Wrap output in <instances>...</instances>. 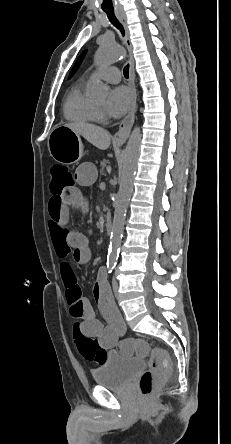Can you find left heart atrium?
<instances>
[{"label": "left heart atrium", "instance_id": "1", "mask_svg": "<svg viewBox=\"0 0 231 444\" xmlns=\"http://www.w3.org/2000/svg\"><path fill=\"white\" fill-rule=\"evenodd\" d=\"M133 103V94L125 86H117L110 90L107 106V111L114 117L124 115Z\"/></svg>", "mask_w": 231, "mask_h": 444}]
</instances>
